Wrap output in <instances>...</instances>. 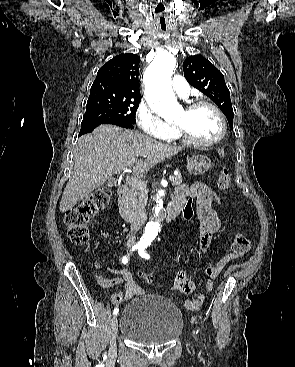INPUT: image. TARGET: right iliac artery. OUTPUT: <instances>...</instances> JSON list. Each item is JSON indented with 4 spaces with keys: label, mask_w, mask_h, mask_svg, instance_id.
Returning a JSON list of instances; mask_svg holds the SVG:
<instances>
[{
    "label": "right iliac artery",
    "mask_w": 295,
    "mask_h": 367,
    "mask_svg": "<svg viewBox=\"0 0 295 367\" xmlns=\"http://www.w3.org/2000/svg\"><path fill=\"white\" fill-rule=\"evenodd\" d=\"M140 248V246L139 245H134L132 248H131V251H135V250H137V249H139ZM128 261H129V257H128V255H124L123 257H122V263L123 264H127L128 263ZM118 308H115L114 309V311H113V314L114 315H116L117 313H118Z\"/></svg>",
    "instance_id": "right-iliac-artery-1"
}]
</instances>
